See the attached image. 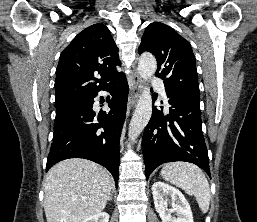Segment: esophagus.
Segmentation results:
<instances>
[{
	"label": "esophagus",
	"instance_id": "34e87169",
	"mask_svg": "<svg viewBox=\"0 0 257 222\" xmlns=\"http://www.w3.org/2000/svg\"><path fill=\"white\" fill-rule=\"evenodd\" d=\"M142 89V80L137 72H134L132 75V87L130 93V99L128 102V109L133 107L140 97Z\"/></svg>",
	"mask_w": 257,
	"mask_h": 222
}]
</instances>
